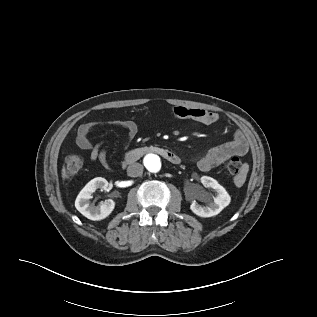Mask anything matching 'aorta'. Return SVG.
Here are the masks:
<instances>
[{
    "label": "aorta",
    "mask_w": 317,
    "mask_h": 317,
    "mask_svg": "<svg viewBox=\"0 0 317 317\" xmlns=\"http://www.w3.org/2000/svg\"><path fill=\"white\" fill-rule=\"evenodd\" d=\"M145 167L150 172H158L161 168V161L156 155H147L144 159Z\"/></svg>",
    "instance_id": "obj_1"
}]
</instances>
